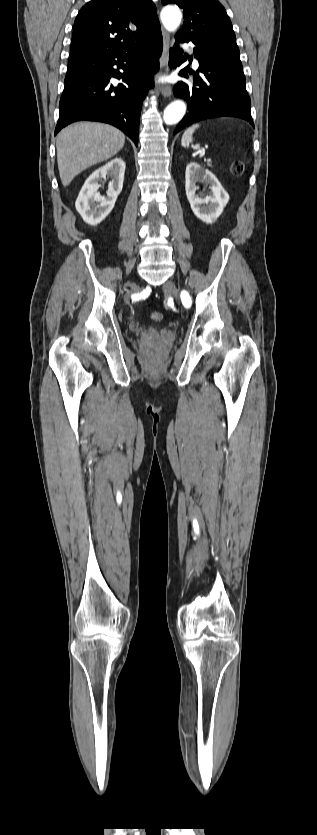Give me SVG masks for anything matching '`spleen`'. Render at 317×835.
<instances>
[{"label":"spleen","instance_id":"3e777b00","mask_svg":"<svg viewBox=\"0 0 317 835\" xmlns=\"http://www.w3.org/2000/svg\"><path fill=\"white\" fill-rule=\"evenodd\" d=\"M199 126V124H194L184 132L181 139V144L183 147H188L189 144L193 141V133L197 128H199Z\"/></svg>","mask_w":317,"mask_h":835}]
</instances>
